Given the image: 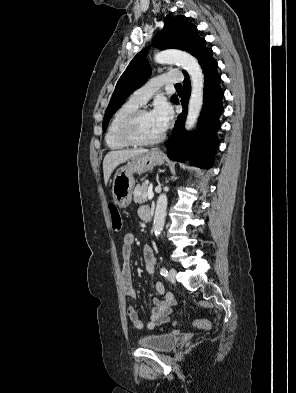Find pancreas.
<instances>
[{"label":"pancreas","mask_w":296,"mask_h":393,"mask_svg":"<svg viewBox=\"0 0 296 393\" xmlns=\"http://www.w3.org/2000/svg\"><path fill=\"white\" fill-rule=\"evenodd\" d=\"M148 185L147 183H142V185H137L134 189V202L142 204L147 201Z\"/></svg>","instance_id":"1"}]
</instances>
